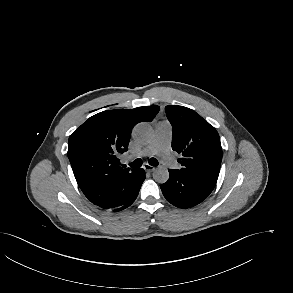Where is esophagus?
Masks as SVG:
<instances>
[{"instance_id": "obj_1", "label": "esophagus", "mask_w": 293, "mask_h": 293, "mask_svg": "<svg viewBox=\"0 0 293 293\" xmlns=\"http://www.w3.org/2000/svg\"><path fill=\"white\" fill-rule=\"evenodd\" d=\"M144 169L147 171V172H153V171H155V167L154 166H151V165H149V164H145L144 165Z\"/></svg>"}]
</instances>
